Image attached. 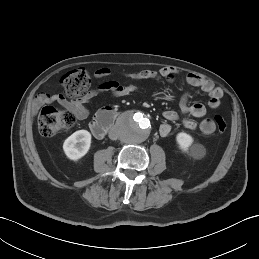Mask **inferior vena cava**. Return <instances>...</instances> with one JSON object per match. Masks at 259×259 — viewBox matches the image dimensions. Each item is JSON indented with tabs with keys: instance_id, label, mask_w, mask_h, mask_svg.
<instances>
[{
	"instance_id": "inferior-vena-cava-1",
	"label": "inferior vena cava",
	"mask_w": 259,
	"mask_h": 259,
	"mask_svg": "<svg viewBox=\"0 0 259 259\" xmlns=\"http://www.w3.org/2000/svg\"><path fill=\"white\" fill-rule=\"evenodd\" d=\"M109 138L112 139V140H116L118 138V135L114 130H111L109 132Z\"/></svg>"
}]
</instances>
